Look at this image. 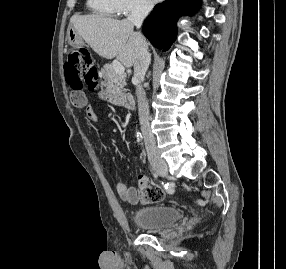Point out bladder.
I'll return each mask as SVG.
<instances>
[{
    "mask_svg": "<svg viewBox=\"0 0 286 269\" xmlns=\"http://www.w3.org/2000/svg\"><path fill=\"white\" fill-rule=\"evenodd\" d=\"M180 219V211L172 206L149 205L137 208L132 213L133 224L145 231H159Z\"/></svg>",
    "mask_w": 286,
    "mask_h": 269,
    "instance_id": "bladder-1",
    "label": "bladder"
}]
</instances>
